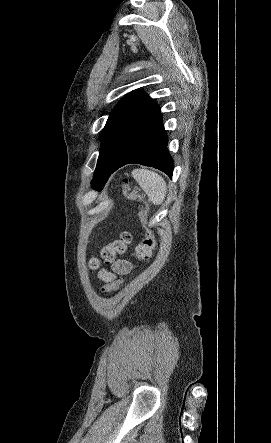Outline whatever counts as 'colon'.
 Listing matches in <instances>:
<instances>
[{"label":"colon","mask_w":271,"mask_h":443,"mask_svg":"<svg viewBox=\"0 0 271 443\" xmlns=\"http://www.w3.org/2000/svg\"><path fill=\"white\" fill-rule=\"evenodd\" d=\"M121 191L126 198L130 200H135L139 203V216L145 226V236L142 241L136 246L135 259L137 261H146L150 259L156 243L155 234L152 228L148 225V204L139 189L133 187L128 181H124L122 183ZM130 242V233L123 232L118 239H115L111 243L102 247L99 252V257H94L90 260V267L92 269H96L98 268L100 262L106 264L113 263L118 255L127 252ZM123 282L124 278L120 277L114 281L105 284L101 290L103 293L106 294L113 293L119 289Z\"/></svg>","instance_id":"obj_1"}]
</instances>
